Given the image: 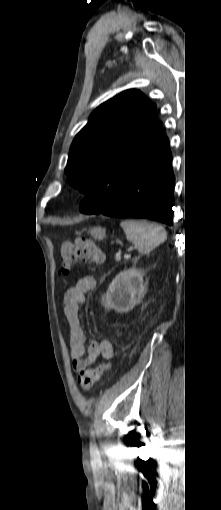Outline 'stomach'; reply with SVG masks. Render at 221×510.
I'll return each mask as SVG.
<instances>
[{"mask_svg":"<svg viewBox=\"0 0 221 510\" xmlns=\"http://www.w3.org/2000/svg\"><path fill=\"white\" fill-rule=\"evenodd\" d=\"M89 233L92 237H94L95 239H98V240H102L106 236L105 229H103L101 227H93L89 230Z\"/></svg>","mask_w":221,"mask_h":510,"instance_id":"1","label":"stomach"}]
</instances>
